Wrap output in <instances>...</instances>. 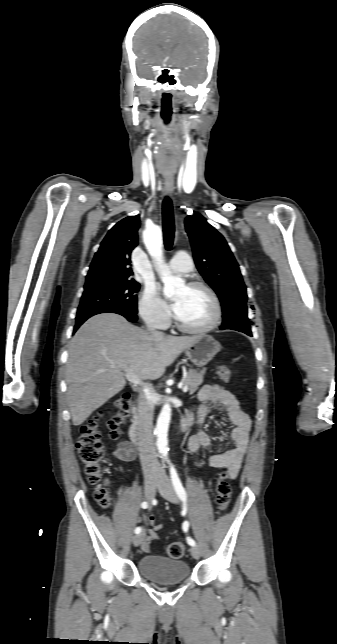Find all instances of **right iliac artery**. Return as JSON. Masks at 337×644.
I'll use <instances>...</instances> for the list:
<instances>
[{
    "label": "right iliac artery",
    "mask_w": 337,
    "mask_h": 644,
    "mask_svg": "<svg viewBox=\"0 0 337 644\" xmlns=\"http://www.w3.org/2000/svg\"><path fill=\"white\" fill-rule=\"evenodd\" d=\"M141 507H142V508H144V509H146V508L148 507V503H147V502H142ZM140 532H141V528H140V527L135 528V533H136V534H139Z\"/></svg>",
    "instance_id": "right-iliac-artery-1"
}]
</instances>
